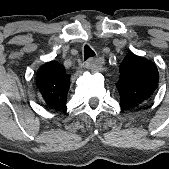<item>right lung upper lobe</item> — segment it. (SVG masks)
<instances>
[{
    "instance_id": "obj_1",
    "label": "right lung upper lobe",
    "mask_w": 169,
    "mask_h": 169,
    "mask_svg": "<svg viewBox=\"0 0 169 169\" xmlns=\"http://www.w3.org/2000/svg\"><path fill=\"white\" fill-rule=\"evenodd\" d=\"M44 96L51 106H61L69 90V81L64 69L56 62L45 65L41 73Z\"/></svg>"
}]
</instances>
